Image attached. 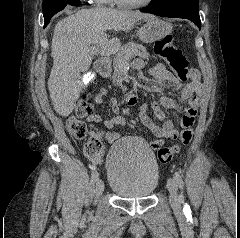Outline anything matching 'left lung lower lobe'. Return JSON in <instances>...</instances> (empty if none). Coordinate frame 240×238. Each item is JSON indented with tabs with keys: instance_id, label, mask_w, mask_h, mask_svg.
I'll return each mask as SVG.
<instances>
[{
	"instance_id": "left-lung-lower-lobe-1",
	"label": "left lung lower lobe",
	"mask_w": 240,
	"mask_h": 238,
	"mask_svg": "<svg viewBox=\"0 0 240 238\" xmlns=\"http://www.w3.org/2000/svg\"><path fill=\"white\" fill-rule=\"evenodd\" d=\"M141 11L160 17L188 19L199 29L201 28L198 0H166L158 5L143 8Z\"/></svg>"
}]
</instances>
